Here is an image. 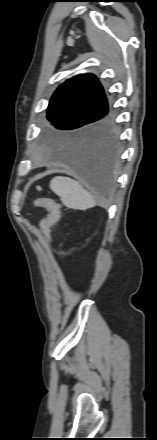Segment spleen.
I'll list each match as a JSON object with an SVG mask.
<instances>
[{
	"label": "spleen",
	"instance_id": "1",
	"mask_svg": "<svg viewBox=\"0 0 157 440\" xmlns=\"http://www.w3.org/2000/svg\"><path fill=\"white\" fill-rule=\"evenodd\" d=\"M50 189L60 197L63 205L74 210L96 206L94 198L75 180L57 176L50 181Z\"/></svg>",
	"mask_w": 157,
	"mask_h": 440
}]
</instances>
